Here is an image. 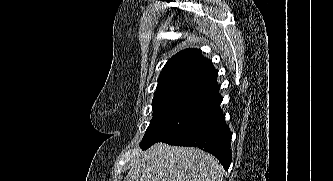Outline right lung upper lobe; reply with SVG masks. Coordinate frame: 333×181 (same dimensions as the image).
I'll use <instances>...</instances> for the list:
<instances>
[{
	"label": "right lung upper lobe",
	"mask_w": 333,
	"mask_h": 181,
	"mask_svg": "<svg viewBox=\"0 0 333 181\" xmlns=\"http://www.w3.org/2000/svg\"><path fill=\"white\" fill-rule=\"evenodd\" d=\"M218 72L200 49L188 48L171 57L158 80L152 109L189 107L209 111L220 105Z\"/></svg>",
	"instance_id": "obj_1"
}]
</instances>
